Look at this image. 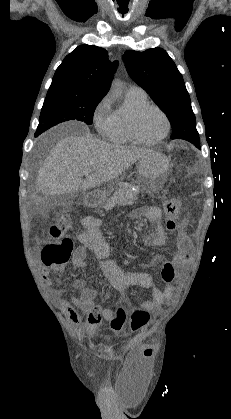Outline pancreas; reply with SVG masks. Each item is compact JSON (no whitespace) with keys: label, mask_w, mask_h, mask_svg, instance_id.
I'll return each instance as SVG.
<instances>
[{"label":"pancreas","mask_w":231,"mask_h":419,"mask_svg":"<svg viewBox=\"0 0 231 419\" xmlns=\"http://www.w3.org/2000/svg\"><path fill=\"white\" fill-rule=\"evenodd\" d=\"M133 185L123 182L118 183L113 195L104 202L105 209H111L117 205H132L137 201V193L132 190Z\"/></svg>","instance_id":"pancreas-1"}]
</instances>
